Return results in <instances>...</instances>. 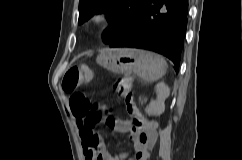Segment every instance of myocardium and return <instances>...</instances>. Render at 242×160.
<instances>
[{
    "instance_id": "1",
    "label": "myocardium",
    "mask_w": 242,
    "mask_h": 160,
    "mask_svg": "<svg viewBox=\"0 0 242 160\" xmlns=\"http://www.w3.org/2000/svg\"><path fill=\"white\" fill-rule=\"evenodd\" d=\"M108 21H109V15L108 13L103 11L94 13L89 19L90 24L94 28H99L105 25Z\"/></svg>"
}]
</instances>
